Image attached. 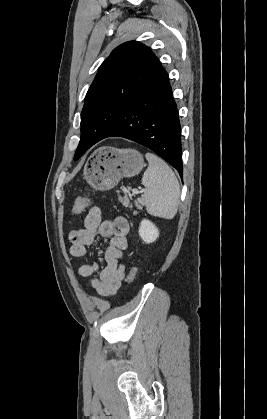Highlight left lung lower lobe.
Wrapping results in <instances>:
<instances>
[{
    "label": "left lung lower lobe",
    "mask_w": 267,
    "mask_h": 419,
    "mask_svg": "<svg viewBox=\"0 0 267 419\" xmlns=\"http://www.w3.org/2000/svg\"><path fill=\"white\" fill-rule=\"evenodd\" d=\"M107 137H123L151 149L171 164L182 178L180 121L164 68L125 111L111 114L101 124L88 148Z\"/></svg>",
    "instance_id": "0a47b994"
}]
</instances>
